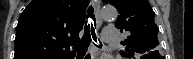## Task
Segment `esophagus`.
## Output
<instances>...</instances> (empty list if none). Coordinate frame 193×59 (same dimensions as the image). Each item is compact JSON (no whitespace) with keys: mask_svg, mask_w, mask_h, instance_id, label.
I'll list each match as a JSON object with an SVG mask.
<instances>
[{"mask_svg":"<svg viewBox=\"0 0 193 59\" xmlns=\"http://www.w3.org/2000/svg\"><path fill=\"white\" fill-rule=\"evenodd\" d=\"M93 4L95 6V13L97 18V25L100 27L102 25V19L99 16V9H100V2L99 1H93ZM95 43H98V41H94Z\"/></svg>","mask_w":193,"mask_h":59,"instance_id":"34e87169","label":"esophagus"}]
</instances>
